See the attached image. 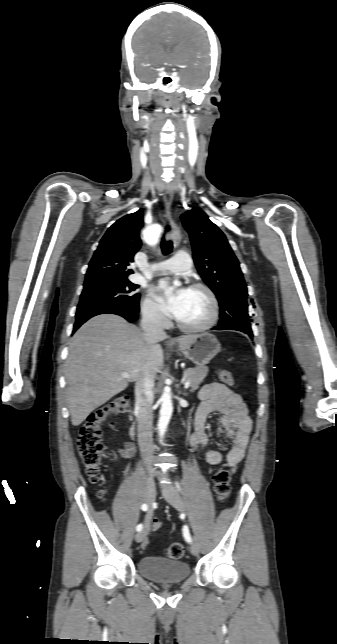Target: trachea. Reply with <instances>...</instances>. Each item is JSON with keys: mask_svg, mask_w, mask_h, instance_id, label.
Returning <instances> with one entry per match:
<instances>
[{"mask_svg": "<svg viewBox=\"0 0 337 644\" xmlns=\"http://www.w3.org/2000/svg\"><path fill=\"white\" fill-rule=\"evenodd\" d=\"M169 230H170V227H169V226H167V227H166V231H169ZM161 248H162V252H163L164 254H168V253H170V252H171V250H172V248H173V243H172V241H170V240H169V241L163 240L162 245H161Z\"/></svg>", "mask_w": 337, "mask_h": 644, "instance_id": "obj_1", "label": "trachea"}]
</instances>
